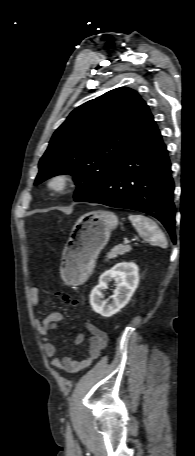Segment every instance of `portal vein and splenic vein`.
I'll return each instance as SVG.
<instances>
[{
  "mask_svg": "<svg viewBox=\"0 0 195 456\" xmlns=\"http://www.w3.org/2000/svg\"><path fill=\"white\" fill-rule=\"evenodd\" d=\"M133 241H134L133 239H132V240H125L123 243H124V244H130V243H132Z\"/></svg>",
  "mask_w": 195,
  "mask_h": 456,
  "instance_id": "obj_1",
  "label": "portal vein and splenic vein"
}]
</instances>
